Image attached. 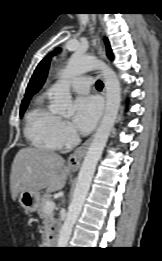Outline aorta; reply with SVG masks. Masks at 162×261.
Masks as SVG:
<instances>
[{"mask_svg": "<svg viewBox=\"0 0 162 261\" xmlns=\"http://www.w3.org/2000/svg\"><path fill=\"white\" fill-rule=\"evenodd\" d=\"M94 69H100L104 78L106 89L105 113L79 171L73 199L68 208L66 220L60 230L57 242L58 248L67 247L73 226L81 213L96 165L117 119L121 103V87L116 73L108 65L95 57L81 56L74 53L65 69L62 70L59 81L51 89L53 99L50 110L63 116H70L73 111L69 109L72 102L69 80Z\"/></svg>", "mask_w": 162, "mask_h": 261, "instance_id": "1", "label": "aorta"}]
</instances>
